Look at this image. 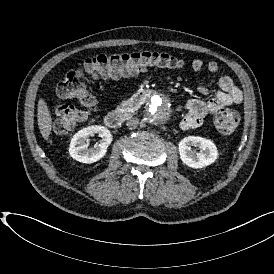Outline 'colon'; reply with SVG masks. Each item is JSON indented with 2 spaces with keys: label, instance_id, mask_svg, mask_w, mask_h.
Listing matches in <instances>:
<instances>
[{
  "label": "colon",
  "instance_id": "colon-1",
  "mask_svg": "<svg viewBox=\"0 0 274 274\" xmlns=\"http://www.w3.org/2000/svg\"><path fill=\"white\" fill-rule=\"evenodd\" d=\"M183 60L175 56L158 52H122L98 54L87 58L79 67L69 69L57 83V98L53 102L56 119L52 128L57 134H65L83 117V109L67 103L75 99L81 107L93 109L94 97L87 90L85 77L119 78L133 75L149 68L181 67ZM240 123L239 114L230 109L216 113L215 125L221 134L233 133Z\"/></svg>",
  "mask_w": 274,
  "mask_h": 274
}]
</instances>
